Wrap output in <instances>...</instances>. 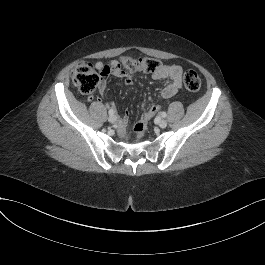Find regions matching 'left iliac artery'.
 Returning <instances> with one entry per match:
<instances>
[{"mask_svg":"<svg viewBox=\"0 0 265 265\" xmlns=\"http://www.w3.org/2000/svg\"><path fill=\"white\" fill-rule=\"evenodd\" d=\"M161 116H162L163 118H165L167 115H166L165 112H162V113H161Z\"/></svg>","mask_w":265,"mask_h":265,"instance_id":"44dca946","label":"left iliac artery"}]
</instances>
